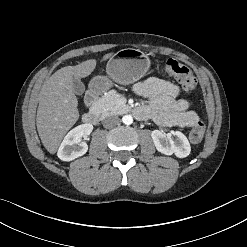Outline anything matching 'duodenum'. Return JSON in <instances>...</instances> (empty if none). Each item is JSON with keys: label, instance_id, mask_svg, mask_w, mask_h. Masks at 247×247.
Masks as SVG:
<instances>
[{"label": "duodenum", "instance_id": "obj_1", "mask_svg": "<svg viewBox=\"0 0 247 247\" xmlns=\"http://www.w3.org/2000/svg\"><path fill=\"white\" fill-rule=\"evenodd\" d=\"M100 87L95 85L93 86L86 94L85 96V102L87 104V106H89V110L83 115V122L86 124H91V125H96L98 124V114L97 112L92 108L94 102L96 101V99L98 98L99 94H100ZM136 115L139 113L136 110Z\"/></svg>", "mask_w": 247, "mask_h": 247}]
</instances>
